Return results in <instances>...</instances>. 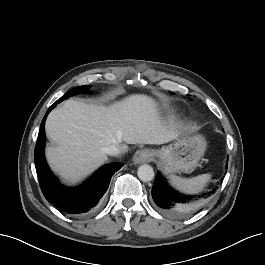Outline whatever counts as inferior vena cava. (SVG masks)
Returning a JSON list of instances; mask_svg holds the SVG:
<instances>
[{
	"label": "inferior vena cava",
	"mask_w": 265,
	"mask_h": 265,
	"mask_svg": "<svg viewBox=\"0 0 265 265\" xmlns=\"http://www.w3.org/2000/svg\"><path fill=\"white\" fill-rule=\"evenodd\" d=\"M104 152L108 155L115 156L121 153V150L118 145H110L104 149Z\"/></svg>",
	"instance_id": "602c4592"
}]
</instances>
